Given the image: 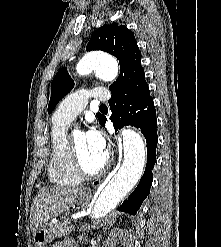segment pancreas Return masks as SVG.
<instances>
[{"label":"pancreas","instance_id":"cf45deb5","mask_svg":"<svg viewBox=\"0 0 221 247\" xmlns=\"http://www.w3.org/2000/svg\"><path fill=\"white\" fill-rule=\"evenodd\" d=\"M70 220H64L62 222H58L52 225L54 235L56 237H66L68 236L73 230L74 227L70 226Z\"/></svg>","mask_w":221,"mask_h":247}]
</instances>
